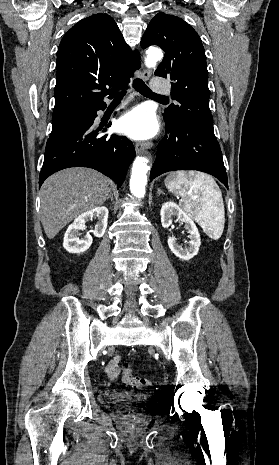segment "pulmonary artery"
<instances>
[{
	"mask_svg": "<svg viewBox=\"0 0 279 465\" xmlns=\"http://www.w3.org/2000/svg\"><path fill=\"white\" fill-rule=\"evenodd\" d=\"M152 88L157 94H169L170 92L169 86L158 79L154 80Z\"/></svg>",
	"mask_w": 279,
	"mask_h": 465,
	"instance_id": "e3ab8cb5",
	"label": "pulmonary artery"
}]
</instances>
